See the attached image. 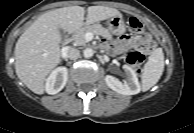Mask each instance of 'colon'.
Wrapping results in <instances>:
<instances>
[{"mask_svg": "<svg viewBox=\"0 0 194 133\" xmlns=\"http://www.w3.org/2000/svg\"><path fill=\"white\" fill-rule=\"evenodd\" d=\"M129 27L130 30L135 34H141L144 31L142 22L136 17L130 18ZM125 61L137 72H140L142 63L144 61V54L140 51V48L135 51L127 52L125 54Z\"/></svg>", "mask_w": 194, "mask_h": 133, "instance_id": "colon-1", "label": "colon"}]
</instances>
